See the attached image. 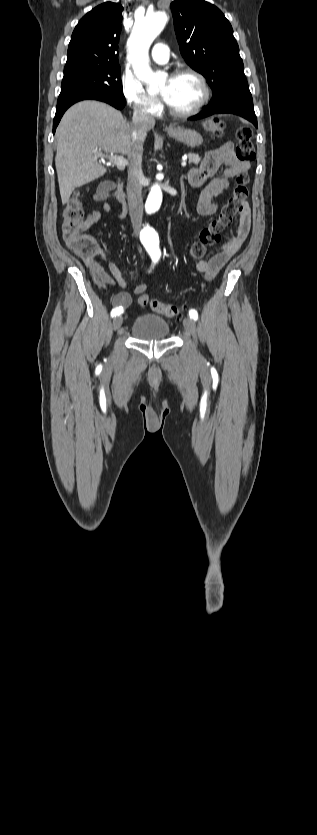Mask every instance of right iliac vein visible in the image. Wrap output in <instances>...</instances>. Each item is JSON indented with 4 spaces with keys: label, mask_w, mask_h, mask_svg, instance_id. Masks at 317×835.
Segmentation results:
<instances>
[{
    "label": "right iliac vein",
    "mask_w": 317,
    "mask_h": 835,
    "mask_svg": "<svg viewBox=\"0 0 317 835\" xmlns=\"http://www.w3.org/2000/svg\"><path fill=\"white\" fill-rule=\"evenodd\" d=\"M122 323H123V318L121 316L115 317L113 319V329L115 331H119L120 328H121Z\"/></svg>",
    "instance_id": "obj_1"
}]
</instances>
